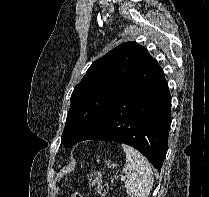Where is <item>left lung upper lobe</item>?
<instances>
[{
    "mask_svg": "<svg viewBox=\"0 0 209 197\" xmlns=\"http://www.w3.org/2000/svg\"><path fill=\"white\" fill-rule=\"evenodd\" d=\"M156 61L136 42H126L99 58L71 95L62 134L65 147L78 143L97 125L108 108L139 82Z\"/></svg>",
    "mask_w": 209,
    "mask_h": 197,
    "instance_id": "1",
    "label": "left lung upper lobe"
}]
</instances>
